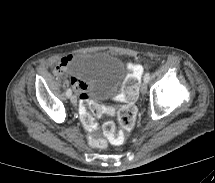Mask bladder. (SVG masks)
I'll list each match as a JSON object with an SVG mask.
<instances>
[{
  "label": "bladder",
  "instance_id": "bladder-1",
  "mask_svg": "<svg viewBox=\"0 0 215 183\" xmlns=\"http://www.w3.org/2000/svg\"><path fill=\"white\" fill-rule=\"evenodd\" d=\"M69 70L87 84V96L104 99L120 92L127 74L124 61L111 53L88 51L75 55Z\"/></svg>",
  "mask_w": 215,
  "mask_h": 183
}]
</instances>
